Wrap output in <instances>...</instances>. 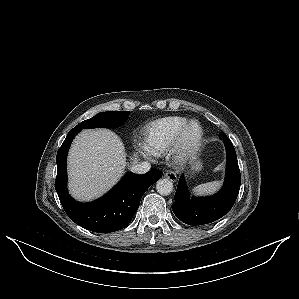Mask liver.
Returning a JSON list of instances; mask_svg holds the SVG:
<instances>
[{
  "mask_svg": "<svg viewBox=\"0 0 299 299\" xmlns=\"http://www.w3.org/2000/svg\"><path fill=\"white\" fill-rule=\"evenodd\" d=\"M126 164L124 145L114 132L83 130L74 139L68 155L71 195L79 201L101 196L118 182Z\"/></svg>",
  "mask_w": 299,
  "mask_h": 299,
  "instance_id": "liver-1",
  "label": "liver"
}]
</instances>
